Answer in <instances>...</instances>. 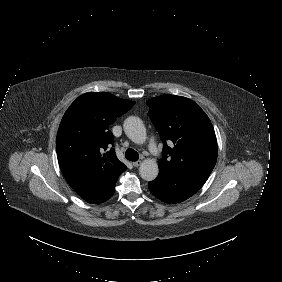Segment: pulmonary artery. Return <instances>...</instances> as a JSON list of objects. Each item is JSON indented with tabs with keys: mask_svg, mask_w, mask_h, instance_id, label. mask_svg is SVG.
<instances>
[{
	"mask_svg": "<svg viewBox=\"0 0 282 282\" xmlns=\"http://www.w3.org/2000/svg\"><path fill=\"white\" fill-rule=\"evenodd\" d=\"M148 152L151 155L152 159L156 162H159L163 159L164 154L161 151L160 145L157 141L152 140L147 145Z\"/></svg>",
	"mask_w": 282,
	"mask_h": 282,
	"instance_id": "obj_1",
	"label": "pulmonary artery"
}]
</instances>
